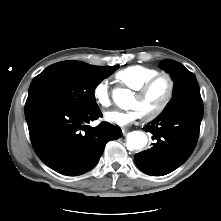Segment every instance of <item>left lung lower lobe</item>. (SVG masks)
<instances>
[{
    "instance_id": "1",
    "label": "left lung lower lobe",
    "mask_w": 221,
    "mask_h": 221,
    "mask_svg": "<svg viewBox=\"0 0 221 221\" xmlns=\"http://www.w3.org/2000/svg\"><path fill=\"white\" fill-rule=\"evenodd\" d=\"M202 117V99L160 114L143 128L153 134L155 143L135 155L137 167L148 175L163 176L181 166L196 146Z\"/></svg>"
}]
</instances>
